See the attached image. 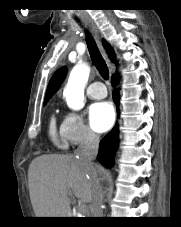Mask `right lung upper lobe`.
Returning a JSON list of instances; mask_svg holds the SVG:
<instances>
[{
	"label": "right lung upper lobe",
	"instance_id": "obj_1",
	"mask_svg": "<svg viewBox=\"0 0 181 227\" xmlns=\"http://www.w3.org/2000/svg\"><path fill=\"white\" fill-rule=\"evenodd\" d=\"M103 46H104L109 58L113 62H115V53H114L112 47L105 40H103ZM66 71H67L66 67H62L53 74L52 78L49 81L48 87H47L44 102H47L51 98V96L54 93H56V91L59 89V87L61 86L62 82L65 79Z\"/></svg>",
	"mask_w": 181,
	"mask_h": 227
}]
</instances>
